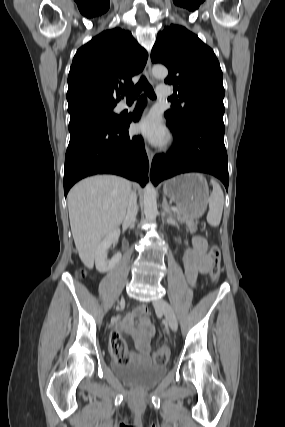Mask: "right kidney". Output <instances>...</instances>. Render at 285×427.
<instances>
[{
    "instance_id": "obj_1",
    "label": "right kidney",
    "mask_w": 285,
    "mask_h": 427,
    "mask_svg": "<svg viewBox=\"0 0 285 427\" xmlns=\"http://www.w3.org/2000/svg\"><path fill=\"white\" fill-rule=\"evenodd\" d=\"M120 236L119 230L109 233L98 245L95 252V265L100 273H106L112 270L121 260V253H117L111 260H107V250L112 244L118 242Z\"/></svg>"
}]
</instances>
